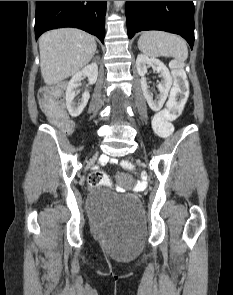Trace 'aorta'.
Here are the masks:
<instances>
[{
    "label": "aorta",
    "mask_w": 233,
    "mask_h": 295,
    "mask_svg": "<svg viewBox=\"0 0 233 295\" xmlns=\"http://www.w3.org/2000/svg\"><path fill=\"white\" fill-rule=\"evenodd\" d=\"M114 3H115V6L117 8H119V7H122L123 6V4L125 3V1H114Z\"/></svg>",
    "instance_id": "aorta-1"
}]
</instances>
